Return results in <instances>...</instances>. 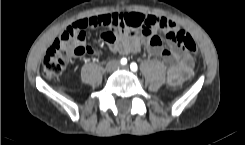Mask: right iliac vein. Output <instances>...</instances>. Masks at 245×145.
I'll list each match as a JSON object with an SVG mask.
<instances>
[{
  "instance_id": "right-iliac-vein-1",
  "label": "right iliac vein",
  "mask_w": 245,
  "mask_h": 145,
  "mask_svg": "<svg viewBox=\"0 0 245 145\" xmlns=\"http://www.w3.org/2000/svg\"><path fill=\"white\" fill-rule=\"evenodd\" d=\"M116 67H117V62L116 61H110L106 65V70L108 72H112L116 69Z\"/></svg>"
}]
</instances>
